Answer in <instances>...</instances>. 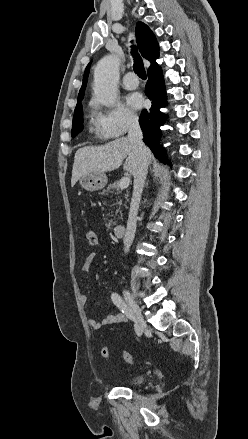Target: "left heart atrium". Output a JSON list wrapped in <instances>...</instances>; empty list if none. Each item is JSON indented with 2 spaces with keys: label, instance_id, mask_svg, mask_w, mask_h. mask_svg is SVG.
<instances>
[{
  "label": "left heart atrium",
  "instance_id": "left-heart-atrium-1",
  "mask_svg": "<svg viewBox=\"0 0 248 439\" xmlns=\"http://www.w3.org/2000/svg\"><path fill=\"white\" fill-rule=\"evenodd\" d=\"M128 104L135 108V109H139L143 106V97L138 94V93H133L131 95L128 96L127 98Z\"/></svg>",
  "mask_w": 248,
  "mask_h": 439
}]
</instances>
